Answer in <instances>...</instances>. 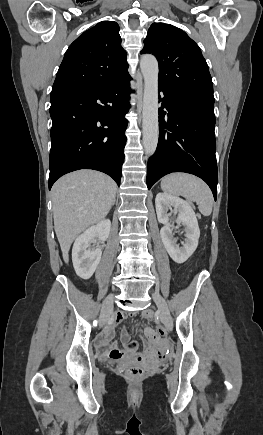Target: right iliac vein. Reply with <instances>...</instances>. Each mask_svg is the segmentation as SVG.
<instances>
[{
  "label": "right iliac vein",
  "mask_w": 263,
  "mask_h": 435,
  "mask_svg": "<svg viewBox=\"0 0 263 435\" xmlns=\"http://www.w3.org/2000/svg\"><path fill=\"white\" fill-rule=\"evenodd\" d=\"M114 296L111 294L104 300L100 315V325H104L109 317V313L113 308Z\"/></svg>",
  "instance_id": "1"
}]
</instances>
